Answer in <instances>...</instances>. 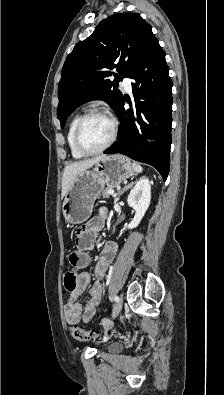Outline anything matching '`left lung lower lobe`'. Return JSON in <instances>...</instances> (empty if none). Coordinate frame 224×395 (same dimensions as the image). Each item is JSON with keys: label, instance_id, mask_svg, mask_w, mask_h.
Segmentation results:
<instances>
[{"label": "left lung lower lobe", "instance_id": "1", "mask_svg": "<svg viewBox=\"0 0 224 395\" xmlns=\"http://www.w3.org/2000/svg\"><path fill=\"white\" fill-rule=\"evenodd\" d=\"M127 77L135 80L132 84L135 103L125 110L126 100L120 101L115 110L121 123L119 138L104 153H121L150 164L165 181L172 143V81L158 40L151 44Z\"/></svg>", "mask_w": 224, "mask_h": 395}]
</instances>
